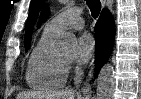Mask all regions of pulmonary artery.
Wrapping results in <instances>:
<instances>
[{"instance_id": "obj_1", "label": "pulmonary artery", "mask_w": 141, "mask_h": 99, "mask_svg": "<svg viewBox=\"0 0 141 99\" xmlns=\"http://www.w3.org/2000/svg\"><path fill=\"white\" fill-rule=\"evenodd\" d=\"M79 7L69 8L53 17L45 26L49 33L57 34L65 29H81L84 21Z\"/></svg>"}]
</instances>
